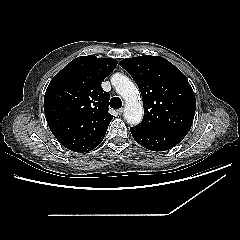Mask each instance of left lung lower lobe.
<instances>
[{"mask_svg":"<svg viewBox=\"0 0 240 240\" xmlns=\"http://www.w3.org/2000/svg\"><path fill=\"white\" fill-rule=\"evenodd\" d=\"M135 141L152 151H165L173 148L187 135L186 131H149L137 127L130 128Z\"/></svg>","mask_w":240,"mask_h":240,"instance_id":"1","label":"left lung lower lobe"}]
</instances>
